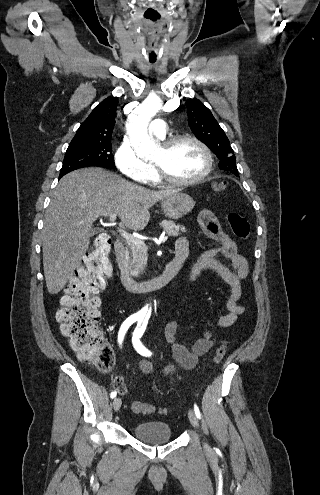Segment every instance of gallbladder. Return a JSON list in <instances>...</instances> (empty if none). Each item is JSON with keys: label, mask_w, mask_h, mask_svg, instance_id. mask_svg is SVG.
I'll use <instances>...</instances> for the list:
<instances>
[{"label": "gallbladder", "mask_w": 320, "mask_h": 495, "mask_svg": "<svg viewBox=\"0 0 320 495\" xmlns=\"http://www.w3.org/2000/svg\"><path fill=\"white\" fill-rule=\"evenodd\" d=\"M96 233H98V229H93L92 232H91L92 235H94Z\"/></svg>", "instance_id": "1"}]
</instances>
